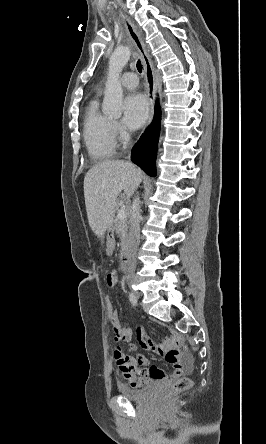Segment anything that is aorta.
Returning <instances> with one entry per match:
<instances>
[{
  "mask_svg": "<svg viewBox=\"0 0 266 444\" xmlns=\"http://www.w3.org/2000/svg\"><path fill=\"white\" fill-rule=\"evenodd\" d=\"M131 51L128 47L116 49L110 59L106 82L105 95L102 105L104 114L120 117L123 111V90L119 81L122 69L130 59Z\"/></svg>",
  "mask_w": 266,
  "mask_h": 444,
  "instance_id": "aorta-1",
  "label": "aorta"
}]
</instances>
